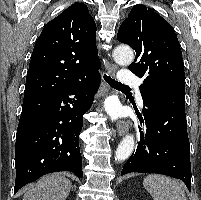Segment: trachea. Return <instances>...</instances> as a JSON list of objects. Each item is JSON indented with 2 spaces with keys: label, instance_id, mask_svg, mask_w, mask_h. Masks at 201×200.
Wrapping results in <instances>:
<instances>
[{
  "label": "trachea",
  "instance_id": "1",
  "mask_svg": "<svg viewBox=\"0 0 201 200\" xmlns=\"http://www.w3.org/2000/svg\"><path fill=\"white\" fill-rule=\"evenodd\" d=\"M104 80L111 86L116 89H130L129 86L119 83L118 81L112 79L110 76L104 75Z\"/></svg>",
  "mask_w": 201,
  "mask_h": 200
}]
</instances>
